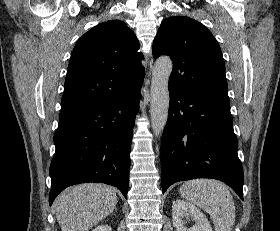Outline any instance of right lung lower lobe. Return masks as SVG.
Wrapping results in <instances>:
<instances>
[{
	"label": "right lung lower lobe",
	"mask_w": 280,
	"mask_h": 231,
	"mask_svg": "<svg viewBox=\"0 0 280 231\" xmlns=\"http://www.w3.org/2000/svg\"><path fill=\"white\" fill-rule=\"evenodd\" d=\"M140 99L139 88L60 114L50 165V205L66 187L86 182L116 186L127 199L129 154Z\"/></svg>",
	"instance_id": "right-lung-lower-lobe-1"
}]
</instances>
